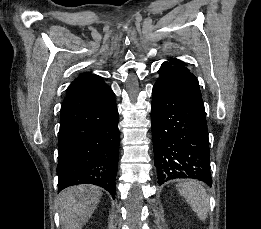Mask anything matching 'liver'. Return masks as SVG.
Here are the masks:
<instances>
[{"label":"liver","mask_w":261,"mask_h":229,"mask_svg":"<svg viewBox=\"0 0 261 229\" xmlns=\"http://www.w3.org/2000/svg\"><path fill=\"white\" fill-rule=\"evenodd\" d=\"M101 197L102 191L95 185L69 187L60 193L56 203L64 229H82L92 217Z\"/></svg>","instance_id":"obj_1"}]
</instances>
